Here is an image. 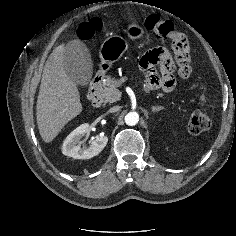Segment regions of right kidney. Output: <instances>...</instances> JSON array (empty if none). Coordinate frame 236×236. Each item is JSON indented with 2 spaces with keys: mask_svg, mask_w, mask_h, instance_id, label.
Listing matches in <instances>:
<instances>
[{
  "mask_svg": "<svg viewBox=\"0 0 236 236\" xmlns=\"http://www.w3.org/2000/svg\"><path fill=\"white\" fill-rule=\"evenodd\" d=\"M90 133L89 124L85 123L73 130L64 140L62 153L74 159H90L98 155L108 142V137L97 135L88 147H81V139Z\"/></svg>",
  "mask_w": 236,
  "mask_h": 236,
  "instance_id": "obj_1",
  "label": "right kidney"
}]
</instances>
